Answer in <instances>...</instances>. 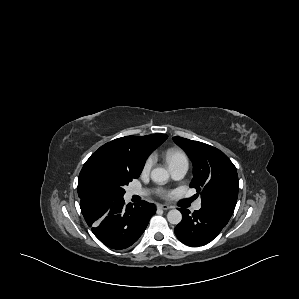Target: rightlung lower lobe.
Returning <instances> with one entry per match:
<instances>
[{
  "instance_id": "right-lung-lower-lobe-1",
  "label": "right lung lower lobe",
  "mask_w": 299,
  "mask_h": 299,
  "mask_svg": "<svg viewBox=\"0 0 299 299\" xmlns=\"http://www.w3.org/2000/svg\"><path fill=\"white\" fill-rule=\"evenodd\" d=\"M82 214L94 235L106 246L125 249L135 243L155 214L153 204L142 201L134 207L124 199L84 196L80 201Z\"/></svg>"
}]
</instances>
